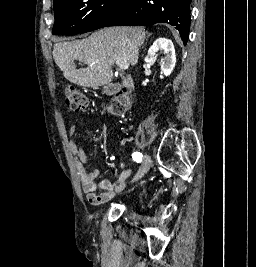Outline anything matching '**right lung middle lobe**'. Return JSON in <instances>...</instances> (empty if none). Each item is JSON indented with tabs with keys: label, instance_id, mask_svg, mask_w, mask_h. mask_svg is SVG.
I'll return each instance as SVG.
<instances>
[{
	"label": "right lung middle lobe",
	"instance_id": "right-lung-middle-lobe-1",
	"mask_svg": "<svg viewBox=\"0 0 256 267\" xmlns=\"http://www.w3.org/2000/svg\"><path fill=\"white\" fill-rule=\"evenodd\" d=\"M133 0H56L53 35L89 32L120 17Z\"/></svg>",
	"mask_w": 256,
	"mask_h": 267
}]
</instances>
